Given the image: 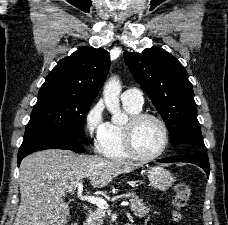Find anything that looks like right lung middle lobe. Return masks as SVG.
<instances>
[{
    "mask_svg": "<svg viewBox=\"0 0 228 225\" xmlns=\"http://www.w3.org/2000/svg\"><path fill=\"white\" fill-rule=\"evenodd\" d=\"M91 104L92 98L60 88H41L25 134L49 130L65 132L83 140L84 120Z\"/></svg>",
    "mask_w": 228,
    "mask_h": 225,
    "instance_id": "obj_1",
    "label": "right lung middle lobe"
}]
</instances>
